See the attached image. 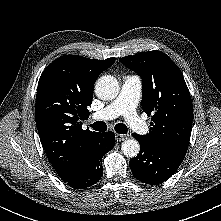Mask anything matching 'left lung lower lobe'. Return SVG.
<instances>
[{
  "instance_id": "0a47b994",
  "label": "left lung lower lobe",
  "mask_w": 221,
  "mask_h": 221,
  "mask_svg": "<svg viewBox=\"0 0 221 221\" xmlns=\"http://www.w3.org/2000/svg\"><path fill=\"white\" fill-rule=\"evenodd\" d=\"M140 143V153L130 160L129 165L134 177L146 184L154 185L170 178L184 159V155L156 149L132 134Z\"/></svg>"
}]
</instances>
